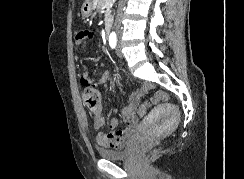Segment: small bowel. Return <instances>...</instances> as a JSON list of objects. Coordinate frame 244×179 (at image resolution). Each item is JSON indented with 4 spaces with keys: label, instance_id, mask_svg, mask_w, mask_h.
I'll return each mask as SVG.
<instances>
[{
    "label": "small bowel",
    "instance_id": "c3829d8e",
    "mask_svg": "<svg viewBox=\"0 0 244 179\" xmlns=\"http://www.w3.org/2000/svg\"><path fill=\"white\" fill-rule=\"evenodd\" d=\"M93 37L94 33L89 29L79 31L76 35V46L79 48H85ZM112 75L113 74L111 72H105L97 80L90 74V72L84 71L80 75V82L85 86L103 85L104 88H106L107 85L105 82L108 78L112 77ZM134 110H145V107H139L138 92H133L129 96L127 105L121 110L120 116L126 124L125 128L117 129L118 121L116 119H112L110 123L111 131L99 132L96 136V142L105 147H121L125 143L126 138L133 132L138 124L136 120V116L138 115H134ZM93 124L96 130L102 129L105 125L104 116L101 113L94 114Z\"/></svg>",
    "mask_w": 244,
    "mask_h": 179
}]
</instances>
